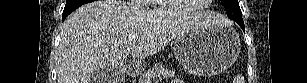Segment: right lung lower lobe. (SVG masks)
<instances>
[{"label": "right lung lower lobe", "instance_id": "98d812e1", "mask_svg": "<svg viewBox=\"0 0 307 83\" xmlns=\"http://www.w3.org/2000/svg\"><path fill=\"white\" fill-rule=\"evenodd\" d=\"M86 3H89V2H86L85 0H75L74 2L70 4H67L63 11L62 21L76 8Z\"/></svg>", "mask_w": 307, "mask_h": 83}]
</instances>
